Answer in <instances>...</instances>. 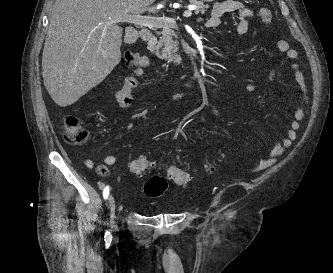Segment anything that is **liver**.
<instances>
[{"label": "liver", "instance_id": "1", "mask_svg": "<svg viewBox=\"0 0 333 273\" xmlns=\"http://www.w3.org/2000/svg\"><path fill=\"white\" fill-rule=\"evenodd\" d=\"M155 0H56L44 44V85L61 106L74 104L121 60L120 18Z\"/></svg>", "mask_w": 333, "mask_h": 273}]
</instances>
